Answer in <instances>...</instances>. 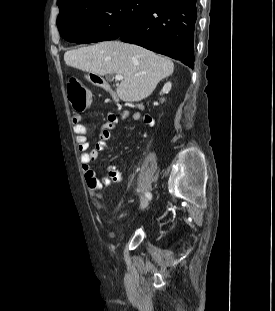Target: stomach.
<instances>
[{"label": "stomach", "mask_w": 275, "mask_h": 311, "mask_svg": "<svg viewBox=\"0 0 275 311\" xmlns=\"http://www.w3.org/2000/svg\"><path fill=\"white\" fill-rule=\"evenodd\" d=\"M85 77H86L87 80L90 81V74L86 75Z\"/></svg>", "instance_id": "0dacf381"}]
</instances>
